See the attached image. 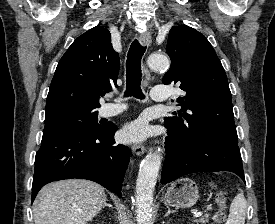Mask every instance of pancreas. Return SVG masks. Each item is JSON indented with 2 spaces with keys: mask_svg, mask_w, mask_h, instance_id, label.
<instances>
[{
  "mask_svg": "<svg viewBox=\"0 0 275 224\" xmlns=\"http://www.w3.org/2000/svg\"><path fill=\"white\" fill-rule=\"evenodd\" d=\"M208 217H209L208 215H205L204 217H200V218L196 219L195 221L197 223L205 224L209 220Z\"/></svg>",
  "mask_w": 275,
  "mask_h": 224,
  "instance_id": "1",
  "label": "pancreas"
}]
</instances>
